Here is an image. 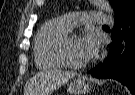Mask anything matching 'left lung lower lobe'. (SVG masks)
Wrapping results in <instances>:
<instances>
[{
    "mask_svg": "<svg viewBox=\"0 0 135 95\" xmlns=\"http://www.w3.org/2000/svg\"><path fill=\"white\" fill-rule=\"evenodd\" d=\"M113 43L103 63L91 69L94 77L115 79L135 93V8L116 19L112 31Z\"/></svg>",
    "mask_w": 135,
    "mask_h": 95,
    "instance_id": "obj_1",
    "label": "left lung lower lobe"
}]
</instances>
